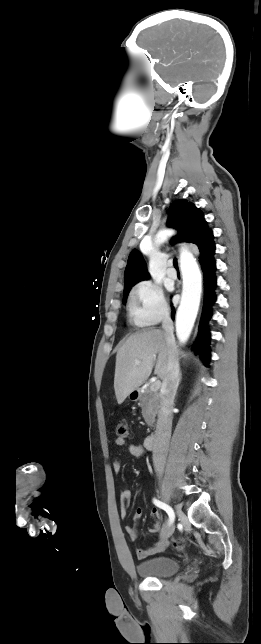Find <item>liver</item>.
Listing matches in <instances>:
<instances>
[{"label": "liver", "instance_id": "obj_1", "mask_svg": "<svg viewBox=\"0 0 261 644\" xmlns=\"http://www.w3.org/2000/svg\"><path fill=\"white\" fill-rule=\"evenodd\" d=\"M170 350L165 332L157 329L143 330L125 341L116 355L114 389L118 404L145 383L157 355L154 373L164 381ZM136 360L140 361L139 365L135 364Z\"/></svg>", "mask_w": 261, "mask_h": 644}]
</instances>
